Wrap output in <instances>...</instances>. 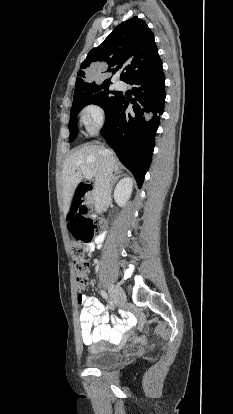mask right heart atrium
<instances>
[{"instance_id":"1","label":"right heart atrium","mask_w":233,"mask_h":414,"mask_svg":"<svg viewBox=\"0 0 233 414\" xmlns=\"http://www.w3.org/2000/svg\"><path fill=\"white\" fill-rule=\"evenodd\" d=\"M80 118L90 134H95L104 124V109L96 103L86 105L80 113Z\"/></svg>"}]
</instances>
